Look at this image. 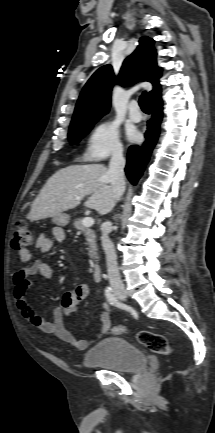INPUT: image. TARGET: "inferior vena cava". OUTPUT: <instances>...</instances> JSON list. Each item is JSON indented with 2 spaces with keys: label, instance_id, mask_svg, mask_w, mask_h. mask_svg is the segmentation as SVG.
Here are the masks:
<instances>
[{
  "label": "inferior vena cava",
  "instance_id": "1",
  "mask_svg": "<svg viewBox=\"0 0 215 433\" xmlns=\"http://www.w3.org/2000/svg\"><path fill=\"white\" fill-rule=\"evenodd\" d=\"M124 167L125 159L123 157V150L118 149L113 153L111 157L109 169L107 172L108 180L111 183L117 200L121 198L125 191ZM111 231V222H105L102 226L101 241L102 247L106 255L108 278L114 291H124V285L121 281L118 270L117 256L114 245L108 236Z\"/></svg>",
  "mask_w": 215,
  "mask_h": 433
}]
</instances>
